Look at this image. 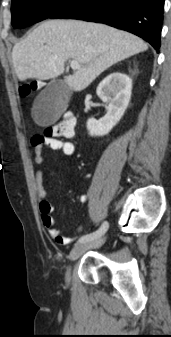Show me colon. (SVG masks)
I'll list each match as a JSON object with an SVG mask.
<instances>
[{
	"label": "colon",
	"instance_id": "1",
	"mask_svg": "<svg viewBox=\"0 0 171 337\" xmlns=\"http://www.w3.org/2000/svg\"><path fill=\"white\" fill-rule=\"evenodd\" d=\"M37 83L31 82L24 84L20 88V93L22 96H29L32 92L36 91ZM75 121L73 117L67 116L59 123L48 126L45 129V136L58 138V137H71L74 133Z\"/></svg>",
	"mask_w": 171,
	"mask_h": 337
}]
</instances>
